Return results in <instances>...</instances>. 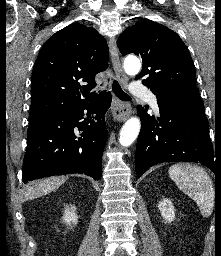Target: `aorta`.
Wrapping results in <instances>:
<instances>
[{
	"instance_id": "1",
	"label": "aorta",
	"mask_w": 221,
	"mask_h": 256,
	"mask_svg": "<svg viewBox=\"0 0 221 256\" xmlns=\"http://www.w3.org/2000/svg\"><path fill=\"white\" fill-rule=\"evenodd\" d=\"M140 68L141 63L137 58L124 62V69L128 74L135 75L140 71ZM140 126V120L137 117L128 119L120 131L119 143L124 147L130 146L137 138Z\"/></svg>"
}]
</instances>
